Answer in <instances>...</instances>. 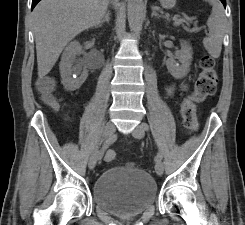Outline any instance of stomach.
I'll use <instances>...</instances> for the list:
<instances>
[{"label": "stomach", "instance_id": "stomach-1", "mask_svg": "<svg viewBox=\"0 0 245 225\" xmlns=\"http://www.w3.org/2000/svg\"><path fill=\"white\" fill-rule=\"evenodd\" d=\"M161 6L165 9L174 7L176 0H160Z\"/></svg>", "mask_w": 245, "mask_h": 225}]
</instances>
